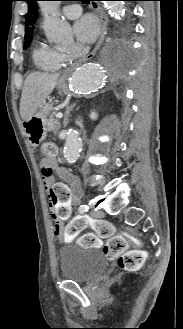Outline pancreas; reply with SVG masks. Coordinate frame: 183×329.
Here are the masks:
<instances>
[{"mask_svg":"<svg viewBox=\"0 0 183 329\" xmlns=\"http://www.w3.org/2000/svg\"><path fill=\"white\" fill-rule=\"evenodd\" d=\"M55 113L50 115L49 119L47 120V129L54 134H57L61 128L60 122L57 119H54Z\"/></svg>","mask_w":183,"mask_h":329,"instance_id":"cf45deb5","label":"pancreas"}]
</instances>
